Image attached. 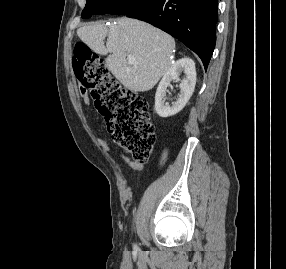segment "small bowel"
Returning a JSON list of instances; mask_svg holds the SVG:
<instances>
[{
	"mask_svg": "<svg viewBox=\"0 0 286 269\" xmlns=\"http://www.w3.org/2000/svg\"><path fill=\"white\" fill-rule=\"evenodd\" d=\"M123 158L126 161V163L129 165V167H131L132 169H134L136 171H142L143 170V168H144L143 163L131 160L127 157H123Z\"/></svg>",
	"mask_w": 286,
	"mask_h": 269,
	"instance_id": "obj_1",
	"label": "small bowel"
}]
</instances>
